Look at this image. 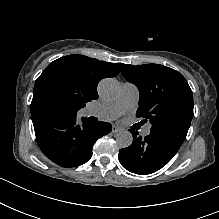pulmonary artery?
<instances>
[{"label":"pulmonary artery","instance_id":"1","mask_svg":"<svg viewBox=\"0 0 219 219\" xmlns=\"http://www.w3.org/2000/svg\"><path fill=\"white\" fill-rule=\"evenodd\" d=\"M139 99V90L137 86L130 82H124L121 87V93L118 100L109 106L105 107H90L83 110L84 116H94L103 122H110L127 110L133 108ZM150 127L147 126L143 129V134L148 135Z\"/></svg>","mask_w":219,"mask_h":219}]
</instances>
